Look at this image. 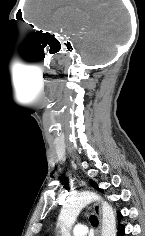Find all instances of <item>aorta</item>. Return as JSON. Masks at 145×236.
<instances>
[{
	"label": "aorta",
	"instance_id": "aorta-1",
	"mask_svg": "<svg viewBox=\"0 0 145 236\" xmlns=\"http://www.w3.org/2000/svg\"><path fill=\"white\" fill-rule=\"evenodd\" d=\"M92 201H100L102 205V236H116V218L112 206L93 192H81L69 198L63 205L58 224L61 236H71V229L80 211Z\"/></svg>",
	"mask_w": 145,
	"mask_h": 236
}]
</instances>
